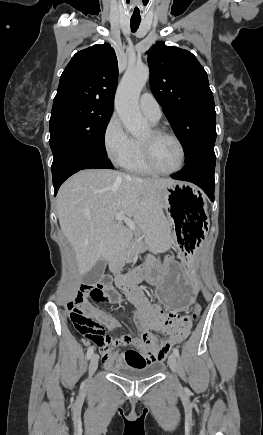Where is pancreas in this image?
Wrapping results in <instances>:
<instances>
[{"label": "pancreas", "mask_w": 263, "mask_h": 435, "mask_svg": "<svg viewBox=\"0 0 263 435\" xmlns=\"http://www.w3.org/2000/svg\"><path fill=\"white\" fill-rule=\"evenodd\" d=\"M135 234H136L135 238L128 245V247L115 257V260L112 265L113 270L118 269L120 266L124 265L134 255L136 249L141 247L140 244L143 235H140L139 231L136 232Z\"/></svg>", "instance_id": "1"}]
</instances>
